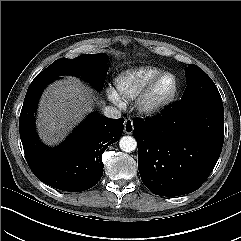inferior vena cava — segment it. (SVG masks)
Masks as SVG:
<instances>
[{
	"label": "inferior vena cava",
	"mask_w": 241,
	"mask_h": 241,
	"mask_svg": "<svg viewBox=\"0 0 241 241\" xmlns=\"http://www.w3.org/2000/svg\"><path fill=\"white\" fill-rule=\"evenodd\" d=\"M104 116L107 118L118 119L121 117V112L119 109L113 106H106L103 108Z\"/></svg>",
	"instance_id": "inferior-vena-cava-1"
}]
</instances>
